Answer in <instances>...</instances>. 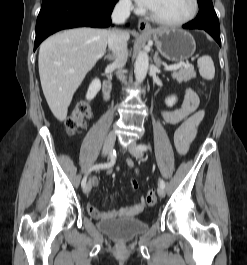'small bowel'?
<instances>
[{
    "label": "small bowel",
    "mask_w": 247,
    "mask_h": 265,
    "mask_svg": "<svg viewBox=\"0 0 247 265\" xmlns=\"http://www.w3.org/2000/svg\"><path fill=\"white\" fill-rule=\"evenodd\" d=\"M199 103L200 100L197 93L194 90L188 88L185 91L183 102L179 108L165 110L162 113V117L167 124L179 125L175 131L174 139L176 149L181 155L186 154L188 151L189 146L195 138L197 130L204 119L205 112L198 109ZM128 166H133L132 160H128ZM137 175H139L138 171ZM92 184L96 186L98 184V180L93 178ZM145 206V199L141 197L135 204L106 211H100L94 206L87 204V211L96 219L107 220L117 217L135 216L141 213Z\"/></svg>",
    "instance_id": "1"
}]
</instances>
